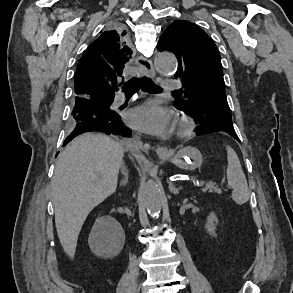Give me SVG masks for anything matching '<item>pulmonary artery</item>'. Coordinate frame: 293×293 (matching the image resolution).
<instances>
[{
    "label": "pulmonary artery",
    "instance_id": "obj_1",
    "mask_svg": "<svg viewBox=\"0 0 293 293\" xmlns=\"http://www.w3.org/2000/svg\"><path fill=\"white\" fill-rule=\"evenodd\" d=\"M161 85L164 90H168V91L177 90L180 87V85L177 82H174L172 80H167V79L162 80ZM123 102H124V98L122 96H118L116 103L122 104Z\"/></svg>",
    "mask_w": 293,
    "mask_h": 293
}]
</instances>
